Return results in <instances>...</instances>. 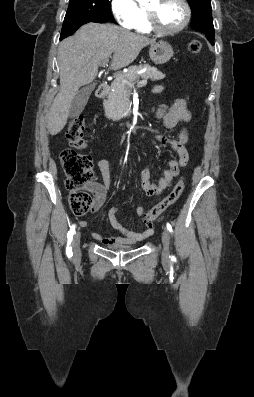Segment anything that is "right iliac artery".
<instances>
[{"label": "right iliac artery", "instance_id": "obj_1", "mask_svg": "<svg viewBox=\"0 0 254 397\" xmlns=\"http://www.w3.org/2000/svg\"><path fill=\"white\" fill-rule=\"evenodd\" d=\"M75 227H76L75 225L71 226V228L67 234L68 242H67L66 254L69 258H71L73 255L71 243L73 240V235L75 233Z\"/></svg>", "mask_w": 254, "mask_h": 397}]
</instances>
